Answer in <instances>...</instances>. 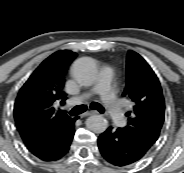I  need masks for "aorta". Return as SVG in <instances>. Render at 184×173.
<instances>
[{"mask_svg":"<svg viewBox=\"0 0 184 173\" xmlns=\"http://www.w3.org/2000/svg\"><path fill=\"white\" fill-rule=\"evenodd\" d=\"M74 72L77 80L85 86H91L96 82L97 69L93 61L82 60L75 64ZM87 127L95 133H103L108 128V121L100 114H95L87 119Z\"/></svg>","mask_w":184,"mask_h":173,"instance_id":"aorta-1","label":"aorta"}]
</instances>
